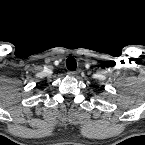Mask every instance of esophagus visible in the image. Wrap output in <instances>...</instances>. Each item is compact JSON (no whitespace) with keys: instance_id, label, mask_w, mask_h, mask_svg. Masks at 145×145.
Listing matches in <instances>:
<instances>
[{"instance_id":"1","label":"esophagus","mask_w":145,"mask_h":145,"mask_svg":"<svg viewBox=\"0 0 145 145\" xmlns=\"http://www.w3.org/2000/svg\"><path fill=\"white\" fill-rule=\"evenodd\" d=\"M80 73V70H76V71H68V75L70 76H76L77 74Z\"/></svg>"}]
</instances>
